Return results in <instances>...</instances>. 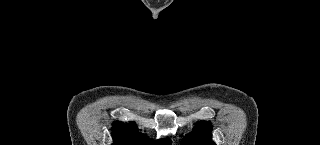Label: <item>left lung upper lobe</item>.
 Here are the masks:
<instances>
[{
	"label": "left lung upper lobe",
	"instance_id": "5c2ea615",
	"mask_svg": "<svg viewBox=\"0 0 320 145\" xmlns=\"http://www.w3.org/2000/svg\"><path fill=\"white\" fill-rule=\"evenodd\" d=\"M182 145H215L212 142L211 125L199 122L190 135L181 141Z\"/></svg>",
	"mask_w": 320,
	"mask_h": 145
}]
</instances>
